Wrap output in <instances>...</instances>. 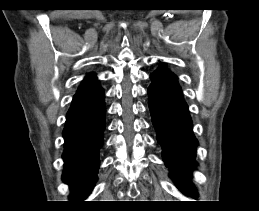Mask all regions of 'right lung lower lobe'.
I'll list each match as a JSON object with an SVG mask.
<instances>
[{
    "mask_svg": "<svg viewBox=\"0 0 259 211\" xmlns=\"http://www.w3.org/2000/svg\"><path fill=\"white\" fill-rule=\"evenodd\" d=\"M104 91L96 83L74 95L63 130V181L72 189L70 199L79 201L91 191L99 167V149L105 129Z\"/></svg>",
    "mask_w": 259,
    "mask_h": 211,
    "instance_id": "98d812e1",
    "label": "right lung lower lobe"
}]
</instances>
